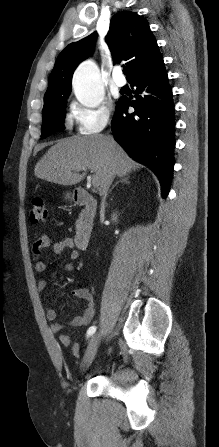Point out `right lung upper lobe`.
<instances>
[{"instance_id": "right-lung-upper-lobe-1", "label": "right lung upper lobe", "mask_w": 219, "mask_h": 447, "mask_svg": "<svg viewBox=\"0 0 219 447\" xmlns=\"http://www.w3.org/2000/svg\"><path fill=\"white\" fill-rule=\"evenodd\" d=\"M96 33L70 43L58 56L49 80L44 100L70 94L71 79L78 64L93 51ZM114 63L125 62L129 67L127 80L130 83L139 74L153 68L162 60L148 21L135 12L117 13L110 23L105 38Z\"/></svg>"}]
</instances>
